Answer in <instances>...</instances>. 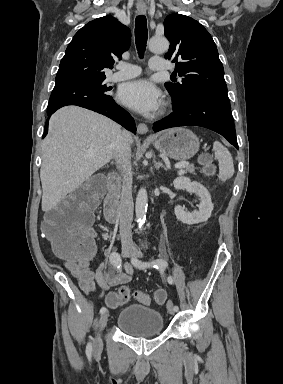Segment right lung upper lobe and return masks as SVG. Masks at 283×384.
<instances>
[{
  "label": "right lung upper lobe",
  "instance_id": "cb5924a9",
  "mask_svg": "<svg viewBox=\"0 0 283 384\" xmlns=\"http://www.w3.org/2000/svg\"><path fill=\"white\" fill-rule=\"evenodd\" d=\"M130 30L107 15L87 23L73 37L61 60L55 87L105 80L111 68L130 46Z\"/></svg>",
  "mask_w": 283,
  "mask_h": 384
}]
</instances>
